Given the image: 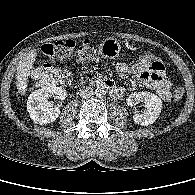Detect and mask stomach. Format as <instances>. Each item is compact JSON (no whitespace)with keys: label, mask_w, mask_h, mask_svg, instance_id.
Returning <instances> with one entry per match:
<instances>
[{"label":"stomach","mask_w":195,"mask_h":195,"mask_svg":"<svg viewBox=\"0 0 195 195\" xmlns=\"http://www.w3.org/2000/svg\"><path fill=\"white\" fill-rule=\"evenodd\" d=\"M121 44L114 37L105 39L99 46V55L107 59H115L119 56Z\"/></svg>","instance_id":"obj_1"}]
</instances>
